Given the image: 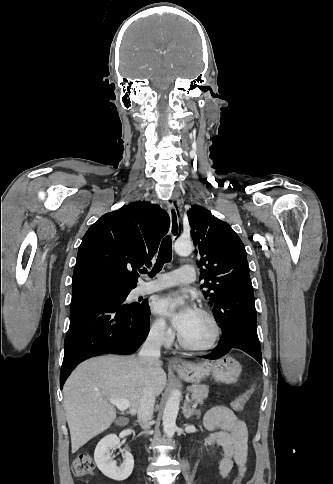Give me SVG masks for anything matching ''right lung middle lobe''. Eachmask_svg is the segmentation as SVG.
Masks as SVG:
<instances>
[{"mask_svg": "<svg viewBox=\"0 0 333 484\" xmlns=\"http://www.w3.org/2000/svg\"><path fill=\"white\" fill-rule=\"evenodd\" d=\"M130 291H114V290H106V293L114 296L117 303L127 309H134L138 313H143L148 310L147 304H138V303H131V304H123L126 297L128 296Z\"/></svg>", "mask_w": 333, "mask_h": 484, "instance_id": "obj_1", "label": "right lung middle lobe"}]
</instances>
